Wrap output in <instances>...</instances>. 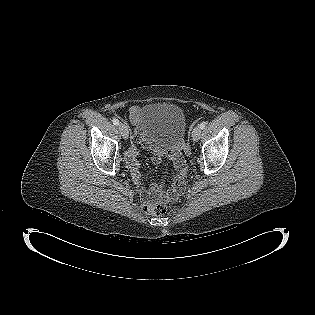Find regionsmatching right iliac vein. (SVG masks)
Masks as SVG:
<instances>
[{
    "label": "right iliac vein",
    "instance_id": "obj_1",
    "mask_svg": "<svg viewBox=\"0 0 315 315\" xmlns=\"http://www.w3.org/2000/svg\"><path fill=\"white\" fill-rule=\"evenodd\" d=\"M119 131L123 137V139L127 140L129 137V129L126 125L120 124L119 125Z\"/></svg>",
    "mask_w": 315,
    "mask_h": 315
}]
</instances>
